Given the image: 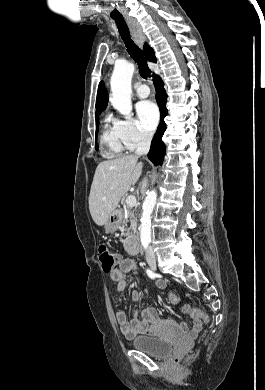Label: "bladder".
<instances>
[{"instance_id":"1","label":"bladder","mask_w":265,"mask_h":390,"mask_svg":"<svg viewBox=\"0 0 265 390\" xmlns=\"http://www.w3.org/2000/svg\"><path fill=\"white\" fill-rule=\"evenodd\" d=\"M131 346L141 352L152 356H163L172 352L173 344L156 336H136L131 341Z\"/></svg>"}]
</instances>
